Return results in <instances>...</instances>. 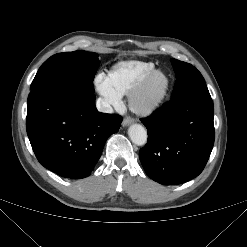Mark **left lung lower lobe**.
I'll list each match as a JSON object with an SVG mask.
<instances>
[{"label": "left lung lower lobe", "instance_id": "obj_1", "mask_svg": "<svg viewBox=\"0 0 247 247\" xmlns=\"http://www.w3.org/2000/svg\"><path fill=\"white\" fill-rule=\"evenodd\" d=\"M209 92L171 99L141 119L148 131L139 151L146 174L163 185H177L197 177L211 154L215 129Z\"/></svg>", "mask_w": 247, "mask_h": 247}]
</instances>
